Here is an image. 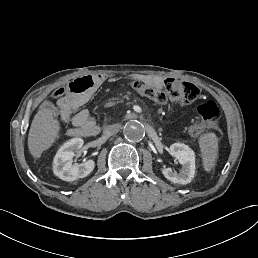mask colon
I'll return each instance as SVG.
<instances>
[{
    "label": "colon",
    "instance_id": "5ec220e1",
    "mask_svg": "<svg viewBox=\"0 0 258 258\" xmlns=\"http://www.w3.org/2000/svg\"><path fill=\"white\" fill-rule=\"evenodd\" d=\"M68 89H71L68 85ZM135 89L143 96L149 98L158 104H164L168 101L178 104H191L199 96V89L196 85L179 81L176 79H167L164 89L143 82L135 83ZM65 88H59L55 91L54 96L60 98L64 95ZM199 119L189 127L191 136L201 135L208 127L209 123L219 115V108L213 101H206L197 108Z\"/></svg>",
    "mask_w": 258,
    "mask_h": 258
}]
</instances>
